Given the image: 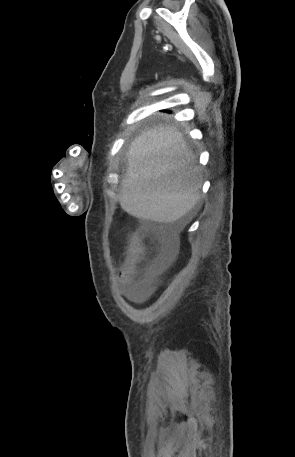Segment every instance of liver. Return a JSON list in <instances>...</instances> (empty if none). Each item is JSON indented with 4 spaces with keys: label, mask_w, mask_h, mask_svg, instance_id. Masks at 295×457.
Returning a JSON list of instances; mask_svg holds the SVG:
<instances>
[{
    "label": "liver",
    "mask_w": 295,
    "mask_h": 457,
    "mask_svg": "<svg viewBox=\"0 0 295 457\" xmlns=\"http://www.w3.org/2000/svg\"><path fill=\"white\" fill-rule=\"evenodd\" d=\"M127 162L118 196L129 215L173 223L199 201L201 170L175 127L160 124L143 131L132 141Z\"/></svg>",
    "instance_id": "obj_1"
}]
</instances>
